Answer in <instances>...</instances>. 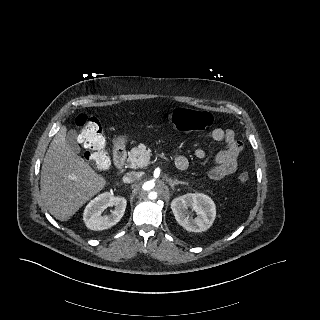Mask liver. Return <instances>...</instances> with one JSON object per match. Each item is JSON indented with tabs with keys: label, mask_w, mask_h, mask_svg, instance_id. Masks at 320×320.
I'll return each mask as SVG.
<instances>
[{
	"label": "liver",
	"mask_w": 320,
	"mask_h": 320,
	"mask_svg": "<svg viewBox=\"0 0 320 320\" xmlns=\"http://www.w3.org/2000/svg\"><path fill=\"white\" fill-rule=\"evenodd\" d=\"M66 131L62 126L51 141L40 179L44 204L49 213L60 221L69 220L106 185V180L70 149Z\"/></svg>",
	"instance_id": "obj_1"
}]
</instances>
